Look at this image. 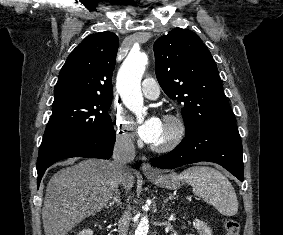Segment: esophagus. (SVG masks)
<instances>
[{"label": "esophagus", "mask_w": 283, "mask_h": 235, "mask_svg": "<svg viewBox=\"0 0 283 235\" xmlns=\"http://www.w3.org/2000/svg\"><path fill=\"white\" fill-rule=\"evenodd\" d=\"M142 171L145 175H152L155 173V170L153 169V167L151 166L150 163L145 162L142 165Z\"/></svg>", "instance_id": "esophagus-1"}]
</instances>
